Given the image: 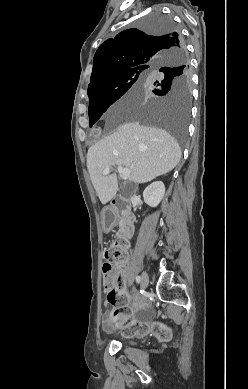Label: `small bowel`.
<instances>
[{"mask_svg":"<svg viewBox=\"0 0 248 389\" xmlns=\"http://www.w3.org/2000/svg\"><path fill=\"white\" fill-rule=\"evenodd\" d=\"M124 266V264H122V267ZM123 270V269H122ZM111 303H109L108 301L105 302V306H108L110 305ZM125 303L121 304V305H125ZM117 312L116 310V307L110 309V310H107L103 316H102V322H103V325L105 328H107L110 324V322L112 321L113 319V315ZM150 317V312L146 309L145 305H140L136 308L135 310V318L136 320L140 321V322H144L146 321L147 319H149Z\"/></svg>","mask_w":248,"mask_h":389,"instance_id":"obj_1","label":"small bowel"}]
</instances>
